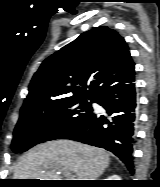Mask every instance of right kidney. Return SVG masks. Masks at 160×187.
Listing matches in <instances>:
<instances>
[{"label":"right kidney","mask_w":160,"mask_h":187,"mask_svg":"<svg viewBox=\"0 0 160 187\" xmlns=\"http://www.w3.org/2000/svg\"><path fill=\"white\" fill-rule=\"evenodd\" d=\"M121 178L117 175H112L109 178L105 179V180H120Z\"/></svg>","instance_id":"1"}]
</instances>
